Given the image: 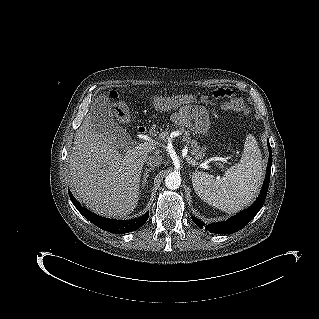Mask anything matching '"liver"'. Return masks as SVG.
<instances>
[{
	"label": "liver",
	"instance_id": "obj_1",
	"mask_svg": "<svg viewBox=\"0 0 319 319\" xmlns=\"http://www.w3.org/2000/svg\"><path fill=\"white\" fill-rule=\"evenodd\" d=\"M147 158L148 153H119L115 140H107L95 130L90 111L75 133L69 155L71 190L96 214L129 215L138 204L141 172Z\"/></svg>",
	"mask_w": 319,
	"mask_h": 319
}]
</instances>
